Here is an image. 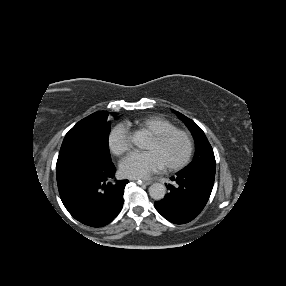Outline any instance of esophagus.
I'll return each mask as SVG.
<instances>
[{"label":"esophagus","instance_id":"1","mask_svg":"<svg viewBox=\"0 0 286 286\" xmlns=\"http://www.w3.org/2000/svg\"><path fill=\"white\" fill-rule=\"evenodd\" d=\"M136 182L140 185H150L152 183V181H150V180H139Z\"/></svg>","mask_w":286,"mask_h":286}]
</instances>
